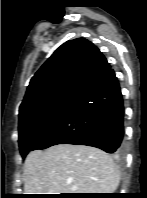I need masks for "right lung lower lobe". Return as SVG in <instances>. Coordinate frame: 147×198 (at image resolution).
<instances>
[{"mask_svg":"<svg viewBox=\"0 0 147 198\" xmlns=\"http://www.w3.org/2000/svg\"><path fill=\"white\" fill-rule=\"evenodd\" d=\"M124 106L115 73L110 69L35 145L33 150L57 144L88 145L115 157L124 153Z\"/></svg>","mask_w":147,"mask_h":198,"instance_id":"1","label":"right lung lower lobe"}]
</instances>
